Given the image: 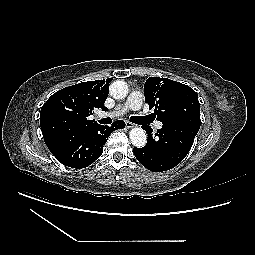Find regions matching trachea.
Masks as SVG:
<instances>
[{"label": "trachea", "mask_w": 255, "mask_h": 255, "mask_svg": "<svg viewBox=\"0 0 255 255\" xmlns=\"http://www.w3.org/2000/svg\"><path fill=\"white\" fill-rule=\"evenodd\" d=\"M139 119H140L139 116L130 117V121H132V122H137ZM111 122H112V119L110 117L103 118V119L99 120L100 124H105V125L110 124Z\"/></svg>", "instance_id": "trachea-1"}]
</instances>
